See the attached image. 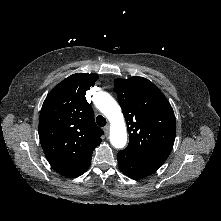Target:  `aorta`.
I'll list each match as a JSON object with an SVG mask.
<instances>
[{
    "label": "aorta",
    "instance_id": "obj_1",
    "mask_svg": "<svg viewBox=\"0 0 221 221\" xmlns=\"http://www.w3.org/2000/svg\"><path fill=\"white\" fill-rule=\"evenodd\" d=\"M97 108L110 121V142L115 148H123L127 142V130L120 106L105 92L97 94Z\"/></svg>",
    "mask_w": 221,
    "mask_h": 221
}]
</instances>
